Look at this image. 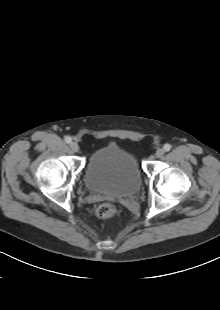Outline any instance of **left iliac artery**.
Listing matches in <instances>:
<instances>
[{
  "mask_svg": "<svg viewBox=\"0 0 220 310\" xmlns=\"http://www.w3.org/2000/svg\"><path fill=\"white\" fill-rule=\"evenodd\" d=\"M163 149H164L166 152H168V151H170V149H171V145H170V144H165V145L163 146Z\"/></svg>",
  "mask_w": 220,
  "mask_h": 310,
  "instance_id": "left-iliac-artery-1",
  "label": "left iliac artery"
}]
</instances>
